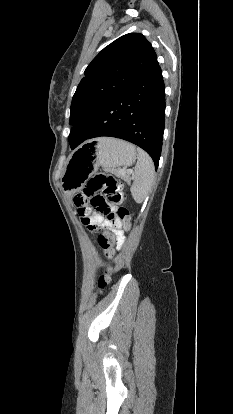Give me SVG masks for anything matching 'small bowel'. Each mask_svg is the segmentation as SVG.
I'll list each match as a JSON object with an SVG mask.
<instances>
[{
	"instance_id": "small-bowel-1",
	"label": "small bowel",
	"mask_w": 233,
	"mask_h": 414,
	"mask_svg": "<svg viewBox=\"0 0 233 414\" xmlns=\"http://www.w3.org/2000/svg\"><path fill=\"white\" fill-rule=\"evenodd\" d=\"M111 212L114 214V208L111 209ZM78 213L84 224L89 226H103L109 229L118 239L120 243L124 241L123 237V223L122 221L113 216L111 219H104L102 214L98 211H92L90 207L85 206L83 213L78 209Z\"/></svg>"
}]
</instances>
